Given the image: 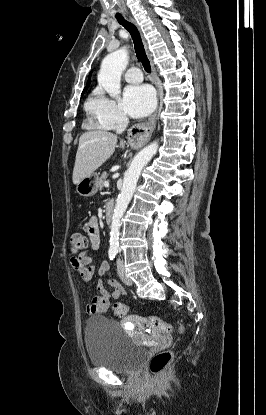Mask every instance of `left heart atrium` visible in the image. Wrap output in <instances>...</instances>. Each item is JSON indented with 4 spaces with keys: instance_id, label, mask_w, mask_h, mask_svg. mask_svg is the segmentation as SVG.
Returning a JSON list of instances; mask_svg holds the SVG:
<instances>
[{
    "instance_id": "obj_1",
    "label": "left heart atrium",
    "mask_w": 266,
    "mask_h": 415,
    "mask_svg": "<svg viewBox=\"0 0 266 415\" xmlns=\"http://www.w3.org/2000/svg\"><path fill=\"white\" fill-rule=\"evenodd\" d=\"M122 106L133 118L148 115L155 106V94L148 85H133L125 89Z\"/></svg>"
}]
</instances>
